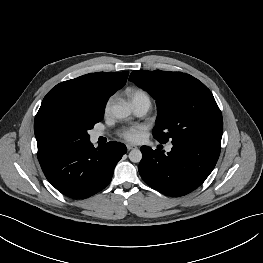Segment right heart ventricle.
<instances>
[{
  "mask_svg": "<svg viewBox=\"0 0 263 263\" xmlns=\"http://www.w3.org/2000/svg\"><path fill=\"white\" fill-rule=\"evenodd\" d=\"M126 94L130 98L133 105H137L140 103H148L151 104V99L149 94L140 88H127Z\"/></svg>",
  "mask_w": 263,
  "mask_h": 263,
  "instance_id": "e07e8e85",
  "label": "right heart ventricle"
}]
</instances>
